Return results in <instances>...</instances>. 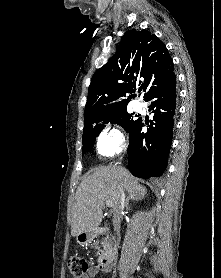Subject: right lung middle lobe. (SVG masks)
I'll list each match as a JSON object with an SVG mask.
<instances>
[{"mask_svg":"<svg viewBox=\"0 0 221 278\" xmlns=\"http://www.w3.org/2000/svg\"><path fill=\"white\" fill-rule=\"evenodd\" d=\"M136 121L137 120L132 119L131 114H128L125 108L115 113L98 117L88 123H84L82 155L93 147L96 137L108 122L111 124H118L128 132Z\"/></svg>","mask_w":221,"mask_h":278,"instance_id":"obj_1","label":"right lung middle lobe"}]
</instances>
